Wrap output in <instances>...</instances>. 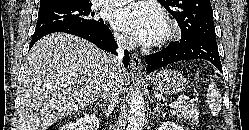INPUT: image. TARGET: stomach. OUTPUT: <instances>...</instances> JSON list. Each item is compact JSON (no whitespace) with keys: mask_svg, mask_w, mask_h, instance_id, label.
Returning a JSON list of instances; mask_svg holds the SVG:
<instances>
[{"mask_svg":"<svg viewBox=\"0 0 249 130\" xmlns=\"http://www.w3.org/2000/svg\"><path fill=\"white\" fill-rule=\"evenodd\" d=\"M152 88L162 94H177L184 91L187 80L178 71L164 69L149 78Z\"/></svg>","mask_w":249,"mask_h":130,"instance_id":"0dacf381","label":"stomach"}]
</instances>
